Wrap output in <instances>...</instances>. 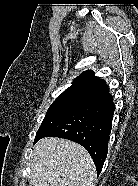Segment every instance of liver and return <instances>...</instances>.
Here are the masks:
<instances>
[{
  "mask_svg": "<svg viewBox=\"0 0 138 186\" xmlns=\"http://www.w3.org/2000/svg\"><path fill=\"white\" fill-rule=\"evenodd\" d=\"M30 186H94L96 169L85 148L62 138H43L34 147Z\"/></svg>",
  "mask_w": 138,
  "mask_h": 186,
  "instance_id": "6515ba94",
  "label": "liver"
}]
</instances>
